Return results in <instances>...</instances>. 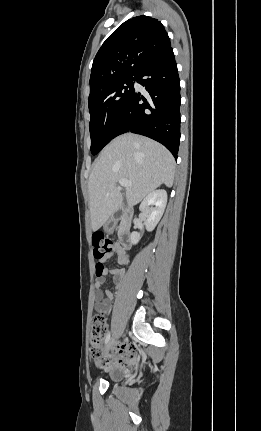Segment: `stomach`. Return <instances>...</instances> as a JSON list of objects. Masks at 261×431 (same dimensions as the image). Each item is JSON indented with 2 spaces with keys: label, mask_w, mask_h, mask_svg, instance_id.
Here are the masks:
<instances>
[{
  "label": "stomach",
  "mask_w": 261,
  "mask_h": 431,
  "mask_svg": "<svg viewBox=\"0 0 261 431\" xmlns=\"http://www.w3.org/2000/svg\"><path fill=\"white\" fill-rule=\"evenodd\" d=\"M103 228H104V230L107 233H111L114 230V226L111 224L110 221H108L107 223H105L104 226H103Z\"/></svg>",
  "instance_id": "1"
}]
</instances>
